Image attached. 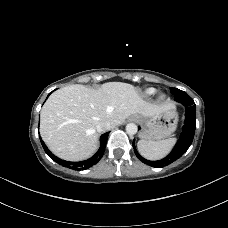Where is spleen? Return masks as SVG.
I'll return each instance as SVG.
<instances>
[{
    "label": "spleen",
    "mask_w": 228,
    "mask_h": 228,
    "mask_svg": "<svg viewBox=\"0 0 228 228\" xmlns=\"http://www.w3.org/2000/svg\"><path fill=\"white\" fill-rule=\"evenodd\" d=\"M176 138H169L160 141L139 140L137 148L142 156L149 160H159L165 157L172 149Z\"/></svg>",
    "instance_id": "3e777b00"
}]
</instances>
